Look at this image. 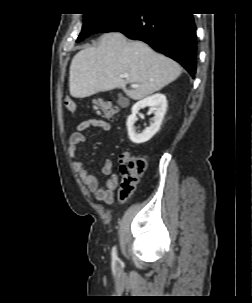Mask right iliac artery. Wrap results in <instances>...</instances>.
<instances>
[{"label":"right iliac artery","instance_id":"82829eb1","mask_svg":"<svg viewBox=\"0 0 252 303\" xmlns=\"http://www.w3.org/2000/svg\"><path fill=\"white\" fill-rule=\"evenodd\" d=\"M112 259L113 260L117 259L116 247H113V249H112Z\"/></svg>","mask_w":252,"mask_h":303}]
</instances>
